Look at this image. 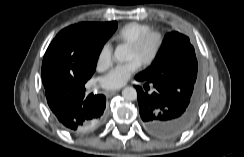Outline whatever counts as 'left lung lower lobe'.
Segmentation results:
<instances>
[{
	"label": "left lung lower lobe",
	"mask_w": 244,
	"mask_h": 157,
	"mask_svg": "<svg viewBox=\"0 0 244 157\" xmlns=\"http://www.w3.org/2000/svg\"><path fill=\"white\" fill-rule=\"evenodd\" d=\"M144 82V88L135 86L138 93L139 113L144 127L160 138L181 135L193 122L197 108L166 90L158 81L135 77ZM153 86V92H148Z\"/></svg>",
	"instance_id": "obj_1"
}]
</instances>
